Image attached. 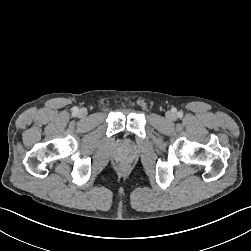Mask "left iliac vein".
Instances as JSON below:
<instances>
[{
    "instance_id": "4c4485c4",
    "label": "left iliac vein",
    "mask_w": 251,
    "mask_h": 251,
    "mask_svg": "<svg viewBox=\"0 0 251 251\" xmlns=\"http://www.w3.org/2000/svg\"><path fill=\"white\" fill-rule=\"evenodd\" d=\"M166 117H167L168 120H173L175 116H174V114H172L171 112H168V113L166 114Z\"/></svg>"
}]
</instances>
